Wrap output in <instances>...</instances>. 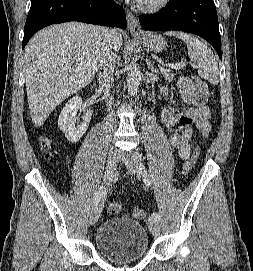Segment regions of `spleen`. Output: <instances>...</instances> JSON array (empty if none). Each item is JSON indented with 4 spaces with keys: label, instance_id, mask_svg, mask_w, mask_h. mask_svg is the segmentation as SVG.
I'll return each mask as SVG.
<instances>
[{
    "label": "spleen",
    "instance_id": "1",
    "mask_svg": "<svg viewBox=\"0 0 253 271\" xmlns=\"http://www.w3.org/2000/svg\"><path fill=\"white\" fill-rule=\"evenodd\" d=\"M168 36H176L187 45L188 55L198 65V74L212 84L219 83L218 63L213 52L198 38L184 32L167 31Z\"/></svg>",
    "mask_w": 253,
    "mask_h": 271
}]
</instances>
